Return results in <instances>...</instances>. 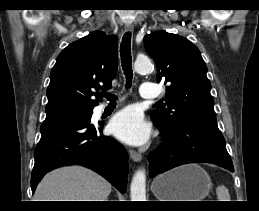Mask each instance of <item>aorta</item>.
Here are the masks:
<instances>
[{
	"label": "aorta",
	"instance_id": "1",
	"mask_svg": "<svg viewBox=\"0 0 259 211\" xmlns=\"http://www.w3.org/2000/svg\"><path fill=\"white\" fill-rule=\"evenodd\" d=\"M134 69L137 73H148L152 69V63L148 58L135 61ZM131 201H146V173L141 169L134 174L130 185Z\"/></svg>",
	"mask_w": 259,
	"mask_h": 211
}]
</instances>
